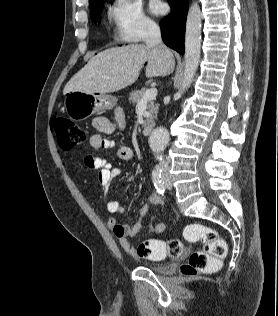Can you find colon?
<instances>
[{
	"label": "colon",
	"mask_w": 278,
	"mask_h": 316,
	"mask_svg": "<svg viewBox=\"0 0 278 316\" xmlns=\"http://www.w3.org/2000/svg\"><path fill=\"white\" fill-rule=\"evenodd\" d=\"M53 126L58 145L62 150L73 149L87 140L86 131L67 118H56ZM183 234L188 241H200L202 248L190 254L186 263L181 267L182 275L191 277L218 270L222 259L226 256L227 247L217 231L202 224H190L185 227ZM182 252L183 245L178 239H171L167 242L150 239L140 243L137 247L140 257L151 259L176 258L181 256Z\"/></svg>",
	"instance_id": "1"
}]
</instances>
